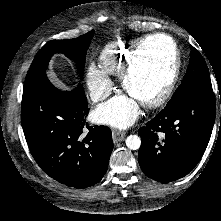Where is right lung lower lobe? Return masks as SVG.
Wrapping results in <instances>:
<instances>
[{
  "mask_svg": "<svg viewBox=\"0 0 221 221\" xmlns=\"http://www.w3.org/2000/svg\"><path fill=\"white\" fill-rule=\"evenodd\" d=\"M83 86L60 91L46 75L23 89L21 122L34 159L42 170L69 187L86 188L106 173L113 149L107 126H89Z\"/></svg>",
  "mask_w": 221,
  "mask_h": 221,
  "instance_id": "obj_1",
  "label": "right lung lower lobe"
}]
</instances>
